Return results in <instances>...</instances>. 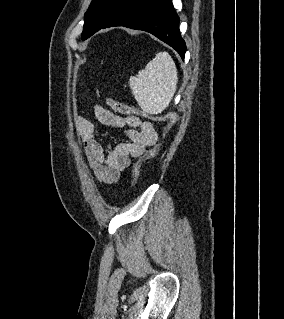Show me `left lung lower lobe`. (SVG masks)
I'll return each instance as SVG.
<instances>
[{"instance_id":"0a47b994","label":"left lung lower lobe","mask_w":284,"mask_h":319,"mask_svg":"<svg viewBox=\"0 0 284 319\" xmlns=\"http://www.w3.org/2000/svg\"><path fill=\"white\" fill-rule=\"evenodd\" d=\"M113 26L149 32L173 47L184 60L186 44L172 0H124L101 29Z\"/></svg>"}]
</instances>
